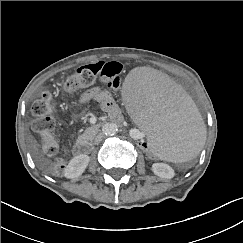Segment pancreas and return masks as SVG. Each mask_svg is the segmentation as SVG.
I'll use <instances>...</instances> for the list:
<instances>
[{"label":"pancreas","mask_w":243,"mask_h":243,"mask_svg":"<svg viewBox=\"0 0 243 243\" xmlns=\"http://www.w3.org/2000/svg\"><path fill=\"white\" fill-rule=\"evenodd\" d=\"M99 129L95 126L86 128V130L78 136V142H89L94 139L95 135L98 133Z\"/></svg>","instance_id":"1"}]
</instances>
